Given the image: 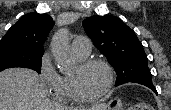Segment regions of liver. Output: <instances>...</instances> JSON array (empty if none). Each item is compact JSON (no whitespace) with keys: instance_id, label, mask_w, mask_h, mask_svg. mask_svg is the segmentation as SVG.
Here are the masks:
<instances>
[{"instance_id":"liver-1","label":"liver","mask_w":171,"mask_h":110,"mask_svg":"<svg viewBox=\"0 0 171 110\" xmlns=\"http://www.w3.org/2000/svg\"><path fill=\"white\" fill-rule=\"evenodd\" d=\"M0 110L89 109L69 108L55 104L47 97L45 84L34 70L11 68L0 72Z\"/></svg>"}]
</instances>
